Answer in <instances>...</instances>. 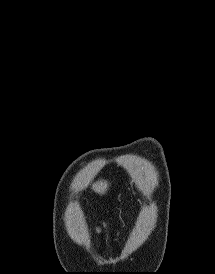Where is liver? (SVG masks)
<instances>
[{
	"mask_svg": "<svg viewBox=\"0 0 215 274\" xmlns=\"http://www.w3.org/2000/svg\"><path fill=\"white\" fill-rule=\"evenodd\" d=\"M108 185L107 182H97L96 184L93 185L92 189L99 194H104L107 191Z\"/></svg>",
	"mask_w": 215,
	"mask_h": 274,
	"instance_id": "6515ba94",
	"label": "liver"
}]
</instances>
